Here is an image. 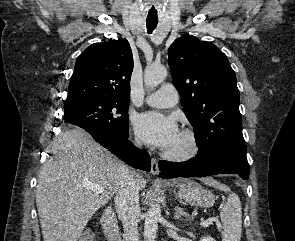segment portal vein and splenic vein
I'll return each instance as SVG.
<instances>
[{"instance_id": "18ae733b", "label": "portal vein and splenic vein", "mask_w": 295, "mask_h": 241, "mask_svg": "<svg viewBox=\"0 0 295 241\" xmlns=\"http://www.w3.org/2000/svg\"><path fill=\"white\" fill-rule=\"evenodd\" d=\"M85 187L88 189H91L92 191L98 192V193L105 192L104 188L101 187L100 185H97V184H90L89 183V184H85ZM213 221H214L213 218L208 219V220H204V221H201L200 225L202 227H208L210 224H212Z\"/></svg>"}]
</instances>
